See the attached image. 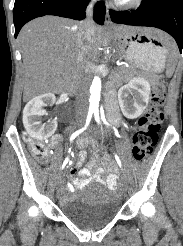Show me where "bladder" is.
I'll list each match as a JSON object with an SVG mask.
<instances>
[{"label": "bladder", "mask_w": 183, "mask_h": 246, "mask_svg": "<svg viewBox=\"0 0 183 246\" xmlns=\"http://www.w3.org/2000/svg\"><path fill=\"white\" fill-rule=\"evenodd\" d=\"M119 209V200L101 184H92L83 195L65 200L61 205L64 216L85 229L108 224Z\"/></svg>", "instance_id": "31cf9c89"}]
</instances>
